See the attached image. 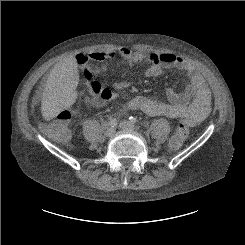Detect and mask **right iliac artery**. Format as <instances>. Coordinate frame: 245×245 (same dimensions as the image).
<instances>
[{"label":"right iliac artery","instance_id":"right-iliac-artery-1","mask_svg":"<svg viewBox=\"0 0 245 245\" xmlns=\"http://www.w3.org/2000/svg\"><path fill=\"white\" fill-rule=\"evenodd\" d=\"M117 124H118V121L116 119H112L109 121V126L111 127H115L117 126Z\"/></svg>","mask_w":245,"mask_h":245}]
</instances>
